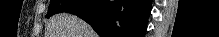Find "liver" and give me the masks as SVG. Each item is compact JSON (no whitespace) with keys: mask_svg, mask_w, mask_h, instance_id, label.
<instances>
[{"mask_svg":"<svg viewBox=\"0 0 219 37\" xmlns=\"http://www.w3.org/2000/svg\"><path fill=\"white\" fill-rule=\"evenodd\" d=\"M45 37H97L93 29L75 15L61 13L53 16Z\"/></svg>","mask_w":219,"mask_h":37,"instance_id":"obj_1","label":"liver"}]
</instances>
